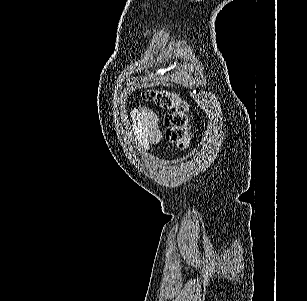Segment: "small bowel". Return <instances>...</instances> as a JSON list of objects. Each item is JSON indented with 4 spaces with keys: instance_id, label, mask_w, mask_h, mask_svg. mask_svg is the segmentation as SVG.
I'll return each mask as SVG.
<instances>
[{
    "instance_id": "small-bowel-1",
    "label": "small bowel",
    "mask_w": 307,
    "mask_h": 301,
    "mask_svg": "<svg viewBox=\"0 0 307 301\" xmlns=\"http://www.w3.org/2000/svg\"><path fill=\"white\" fill-rule=\"evenodd\" d=\"M131 116L133 133L138 144L143 149L158 145L162 140V132L156 113L145 106H141L134 109Z\"/></svg>"
}]
</instances>
